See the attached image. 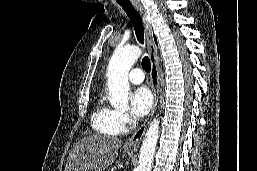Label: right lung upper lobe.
<instances>
[{"label": "right lung upper lobe", "mask_w": 257, "mask_h": 171, "mask_svg": "<svg viewBox=\"0 0 257 171\" xmlns=\"http://www.w3.org/2000/svg\"><path fill=\"white\" fill-rule=\"evenodd\" d=\"M154 39H155V42H157V41H156V37H155V36H154Z\"/></svg>", "instance_id": "cb5924a9"}]
</instances>
